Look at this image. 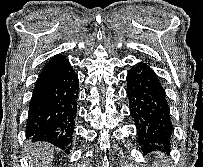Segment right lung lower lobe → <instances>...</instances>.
<instances>
[{
    "label": "right lung lower lobe",
    "instance_id": "right-lung-lower-lobe-1",
    "mask_svg": "<svg viewBox=\"0 0 203 167\" xmlns=\"http://www.w3.org/2000/svg\"><path fill=\"white\" fill-rule=\"evenodd\" d=\"M79 80L67 61L54 74L37 80L30 101L26 139L45 141L65 150L72 147Z\"/></svg>",
    "mask_w": 203,
    "mask_h": 167
}]
</instances>
